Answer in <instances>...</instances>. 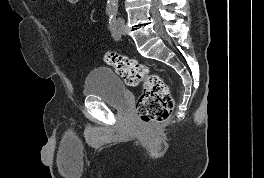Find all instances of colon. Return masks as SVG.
Listing matches in <instances>:
<instances>
[{
    "label": "colon",
    "mask_w": 264,
    "mask_h": 178,
    "mask_svg": "<svg viewBox=\"0 0 264 178\" xmlns=\"http://www.w3.org/2000/svg\"><path fill=\"white\" fill-rule=\"evenodd\" d=\"M103 60L112 66L128 85L143 84V90L136 102V113L143 123L167 120L174 107L169 88L165 81L149 71L148 66L115 51H108Z\"/></svg>",
    "instance_id": "1"
}]
</instances>
